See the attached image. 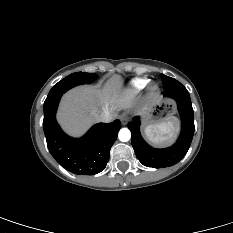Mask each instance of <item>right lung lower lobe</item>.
Returning a JSON list of instances; mask_svg holds the SVG:
<instances>
[{"instance_id": "obj_1", "label": "right lung lower lobe", "mask_w": 233, "mask_h": 233, "mask_svg": "<svg viewBox=\"0 0 233 233\" xmlns=\"http://www.w3.org/2000/svg\"><path fill=\"white\" fill-rule=\"evenodd\" d=\"M61 96L44 103L43 129L51 155L75 174L94 175L103 171L121 127L120 121L98 123L82 138H71L61 130L55 117Z\"/></svg>"}]
</instances>
